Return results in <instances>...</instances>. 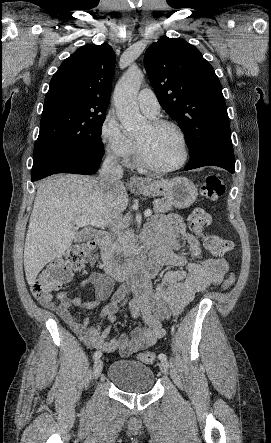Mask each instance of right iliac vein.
<instances>
[{
	"label": "right iliac vein",
	"instance_id": "obj_1",
	"mask_svg": "<svg viewBox=\"0 0 271 443\" xmlns=\"http://www.w3.org/2000/svg\"><path fill=\"white\" fill-rule=\"evenodd\" d=\"M102 370H103V362L102 360L98 359L93 366V372H92L93 379H97L100 376Z\"/></svg>",
	"mask_w": 271,
	"mask_h": 443
}]
</instances>
